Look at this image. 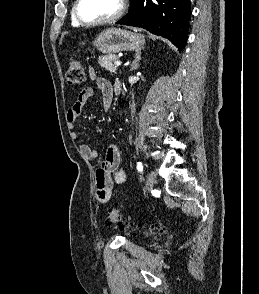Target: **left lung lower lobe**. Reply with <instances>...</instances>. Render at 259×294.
Instances as JSON below:
<instances>
[{"label":"left lung lower lobe","instance_id":"0a47b994","mask_svg":"<svg viewBox=\"0 0 259 294\" xmlns=\"http://www.w3.org/2000/svg\"><path fill=\"white\" fill-rule=\"evenodd\" d=\"M190 4V0H132L128 14L117 24L141 27L161 35L181 51L188 37Z\"/></svg>","mask_w":259,"mask_h":294}]
</instances>
